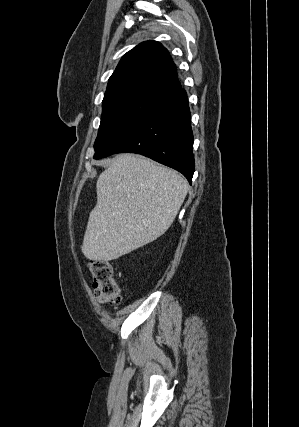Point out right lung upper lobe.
<instances>
[{"mask_svg": "<svg viewBox=\"0 0 299 427\" xmlns=\"http://www.w3.org/2000/svg\"><path fill=\"white\" fill-rule=\"evenodd\" d=\"M179 89L176 66L167 49L157 41H146L122 57L103 100L139 97L155 102Z\"/></svg>", "mask_w": 299, "mask_h": 427, "instance_id": "right-lung-upper-lobe-1", "label": "right lung upper lobe"}]
</instances>
